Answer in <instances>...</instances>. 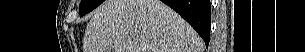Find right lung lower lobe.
<instances>
[{"mask_svg": "<svg viewBox=\"0 0 305 52\" xmlns=\"http://www.w3.org/2000/svg\"><path fill=\"white\" fill-rule=\"evenodd\" d=\"M184 18L203 38L206 46L210 41V0H161Z\"/></svg>", "mask_w": 305, "mask_h": 52, "instance_id": "obj_1", "label": "right lung lower lobe"}]
</instances>
